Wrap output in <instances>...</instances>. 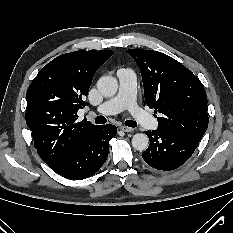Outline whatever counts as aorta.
Here are the masks:
<instances>
[{
  "instance_id": "762f6f07",
  "label": "aorta",
  "mask_w": 233,
  "mask_h": 233,
  "mask_svg": "<svg viewBox=\"0 0 233 233\" xmlns=\"http://www.w3.org/2000/svg\"><path fill=\"white\" fill-rule=\"evenodd\" d=\"M97 88L100 94L105 97H112L116 94L118 89V81L112 76H103L97 81ZM132 146L138 151L146 150L149 145L147 135L137 133L132 138Z\"/></svg>"
}]
</instances>
